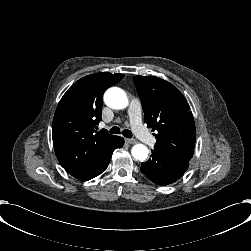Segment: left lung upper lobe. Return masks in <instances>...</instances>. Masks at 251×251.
I'll list each match as a JSON object with an SVG mask.
<instances>
[{
    "instance_id": "1",
    "label": "left lung upper lobe",
    "mask_w": 251,
    "mask_h": 251,
    "mask_svg": "<svg viewBox=\"0 0 251 251\" xmlns=\"http://www.w3.org/2000/svg\"><path fill=\"white\" fill-rule=\"evenodd\" d=\"M133 80L145 114L144 121L152 131H157L154 151L190 161L196 131L185 97L174 85L155 76H135Z\"/></svg>"
}]
</instances>
